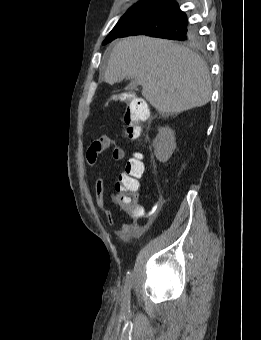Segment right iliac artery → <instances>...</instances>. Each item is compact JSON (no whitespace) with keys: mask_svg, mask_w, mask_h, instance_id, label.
Returning a JSON list of instances; mask_svg holds the SVG:
<instances>
[{"mask_svg":"<svg viewBox=\"0 0 261 340\" xmlns=\"http://www.w3.org/2000/svg\"><path fill=\"white\" fill-rule=\"evenodd\" d=\"M130 288H131V278L130 276H128L126 279V283H125L126 297L124 300V306L126 308L129 307V303H130Z\"/></svg>","mask_w":261,"mask_h":340,"instance_id":"1","label":"right iliac artery"}]
</instances>
